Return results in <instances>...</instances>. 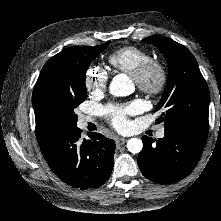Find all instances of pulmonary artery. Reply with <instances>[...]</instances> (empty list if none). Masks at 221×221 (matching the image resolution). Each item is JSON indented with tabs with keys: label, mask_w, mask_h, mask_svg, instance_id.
I'll return each instance as SVG.
<instances>
[{
	"label": "pulmonary artery",
	"mask_w": 221,
	"mask_h": 221,
	"mask_svg": "<svg viewBox=\"0 0 221 221\" xmlns=\"http://www.w3.org/2000/svg\"><path fill=\"white\" fill-rule=\"evenodd\" d=\"M88 121H91V118H90V117H87V116H83V117H81V119H80V123H81L82 125L87 124ZM164 136H165V132H164L163 129H160V130L156 133V137H157V138H163Z\"/></svg>",
	"instance_id": "e3ab8cb5"
}]
</instances>
